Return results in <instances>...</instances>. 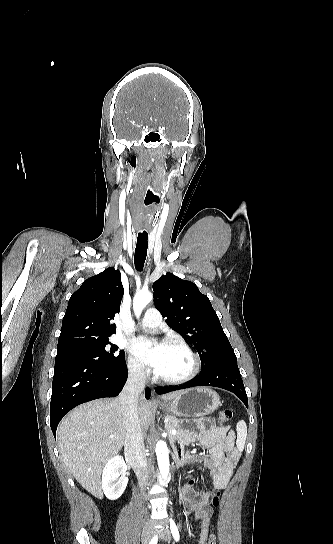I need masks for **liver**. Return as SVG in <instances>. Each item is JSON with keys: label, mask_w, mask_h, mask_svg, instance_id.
<instances>
[{"label": "liver", "mask_w": 333, "mask_h": 544, "mask_svg": "<svg viewBox=\"0 0 333 544\" xmlns=\"http://www.w3.org/2000/svg\"><path fill=\"white\" fill-rule=\"evenodd\" d=\"M181 392L165 394L162 399L172 400ZM138 414L141 428H148L153 416L150 404L143 397L138 402ZM126 435L120 397L78 406L67 414L57 430L58 446L65 465L79 484L98 498L102 497L100 476L103 465L121 450Z\"/></svg>", "instance_id": "obj_1"}]
</instances>
